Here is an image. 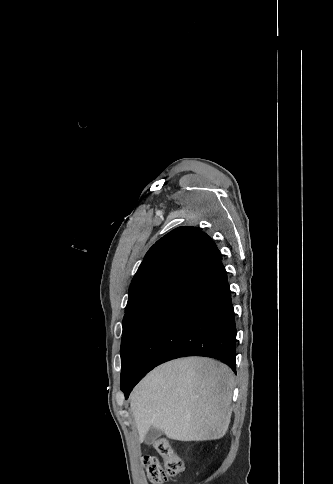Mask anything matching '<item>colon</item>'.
<instances>
[{
    "mask_svg": "<svg viewBox=\"0 0 333 484\" xmlns=\"http://www.w3.org/2000/svg\"><path fill=\"white\" fill-rule=\"evenodd\" d=\"M154 447L160 459L154 456H146L144 465L148 479L153 484H163L184 470L182 459L173 451L165 438H158L154 441Z\"/></svg>",
    "mask_w": 333,
    "mask_h": 484,
    "instance_id": "5ec220e1",
    "label": "colon"
}]
</instances>
